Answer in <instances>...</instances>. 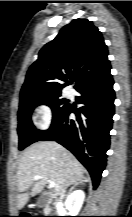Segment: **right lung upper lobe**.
Masks as SVG:
<instances>
[{
    "instance_id": "1",
    "label": "right lung upper lobe",
    "mask_w": 132,
    "mask_h": 217,
    "mask_svg": "<svg viewBox=\"0 0 132 217\" xmlns=\"http://www.w3.org/2000/svg\"><path fill=\"white\" fill-rule=\"evenodd\" d=\"M108 50L98 28L87 19H75L39 52L20 92L25 96L61 94L68 84L75 89L111 78Z\"/></svg>"
}]
</instances>
